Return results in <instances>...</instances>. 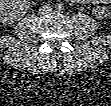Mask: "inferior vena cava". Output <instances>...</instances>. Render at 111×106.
<instances>
[{"label": "inferior vena cava", "instance_id": "602c4592", "mask_svg": "<svg viewBox=\"0 0 111 106\" xmlns=\"http://www.w3.org/2000/svg\"><path fill=\"white\" fill-rule=\"evenodd\" d=\"M52 11V8L48 5H44L39 9L40 14H47Z\"/></svg>", "mask_w": 111, "mask_h": 106}]
</instances>
